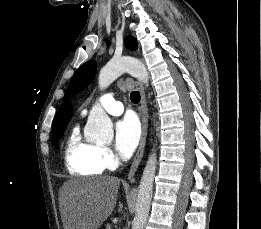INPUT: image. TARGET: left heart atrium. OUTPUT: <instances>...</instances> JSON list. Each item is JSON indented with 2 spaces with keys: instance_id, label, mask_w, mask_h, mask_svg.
I'll return each mask as SVG.
<instances>
[{
  "instance_id": "left-heart-atrium-1",
  "label": "left heart atrium",
  "mask_w": 261,
  "mask_h": 229,
  "mask_svg": "<svg viewBox=\"0 0 261 229\" xmlns=\"http://www.w3.org/2000/svg\"><path fill=\"white\" fill-rule=\"evenodd\" d=\"M141 125L135 116H127L116 124L115 147L123 157H129L139 144Z\"/></svg>"
}]
</instances>
